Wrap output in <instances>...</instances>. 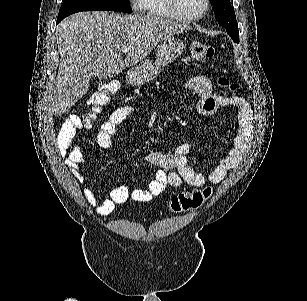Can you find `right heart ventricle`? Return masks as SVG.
<instances>
[{
  "mask_svg": "<svg viewBox=\"0 0 307 301\" xmlns=\"http://www.w3.org/2000/svg\"><path fill=\"white\" fill-rule=\"evenodd\" d=\"M168 0H139L137 8H145L151 17H172V10H167L164 3Z\"/></svg>",
  "mask_w": 307,
  "mask_h": 301,
  "instance_id": "1",
  "label": "right heart ventricle"
}]
</instances>
